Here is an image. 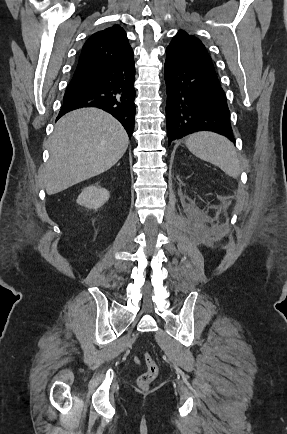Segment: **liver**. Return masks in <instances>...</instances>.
<instances>
[{"mask_svg": "<svg viewBox=\"0 0 287 434\" xmlns=\"http://www.w3.org/2000/svg\"><path fill=\"white\" fill-rule=\"evenodd\" d=\"M129 138L123 126L97 108L64 115L50 139V158L43 172L48 195L97 176L115 165L126 152Z\"/></svg>", "mask_w": 287, "mask_h": 434, "instance_id": "obj_1", "label": "liver"}]
</instances>
